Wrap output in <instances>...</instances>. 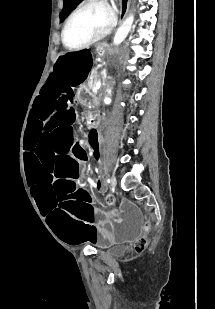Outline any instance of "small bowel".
<instances>
[{"label":"small bowel","mask_w":215,"mask_h":309,"mask_svg":"<svg viewBox=\"0 0 215 309\" xmlns=\"http://www.w3.org/2000/svg\"><path fill=\"white\" fill-rule=\"evenodd\" d=\"M88 127H89V129L95 128V127H93V126H91V125H89V124H88ZM91 140L93 141L94 147H95L96 149H99V141H98V139H97L96 133L91 134ZM98 188H99V189L102 188L100 182L98 183Z\"/></svg>","instance_id":"small-bowel-1"}]
</instances>
